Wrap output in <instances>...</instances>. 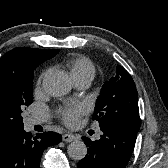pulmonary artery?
Masks as SVG:
<instances>
[{
    "label": "pulmonary artery",
    "mask_w": 168,
    "mask_h": 168,
    "mask_svg": "<svg viewBox=\"0 0 168 168\" xmlns=\"http://www.w3.org/2000/svg\"><path fill=\"white\" fill-rule=\"evenodd\" d=\"M91 81H92V79H90V78H82V79L75 81V84L79 89H85L90 85ZM39 121L40 120L37 118H30L28 120V125L31 127L35 123H38ZM98 136H99V134H98Z\"/></svg>",
    "instance_id": "pulmonary-artery-1"
}]
</instances>
